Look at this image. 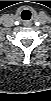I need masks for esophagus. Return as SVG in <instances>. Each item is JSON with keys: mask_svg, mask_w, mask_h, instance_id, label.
<instances>
[{"mask_svg": "<svg viewBox=\"0 0 51 101\" xmlns=\"http://www.w3.org/2000/svg\"><path fill=\"white\" fill-rule=\"evenodd\" d=\"M24 24H25V25H30V22H25Z\"/></svg>", "mask_w": 51, "mask_h": 101, "instance_id": "obj_1", "label": "esophagus"}]
</instances>
